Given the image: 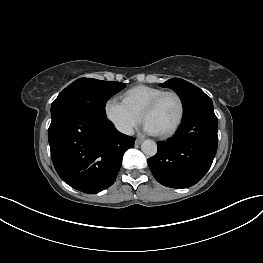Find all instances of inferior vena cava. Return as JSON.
Here are the masks:
<instances>
[{
    "label": "inferior vena cava",
    "mask_w": 263,
    "mask_h": 263,
    "mask_svg": "<svg viewBox=\"0 0 263 263\" xmlns=\"http://www.w3.org/2000/svg\"><path fill=\"white\" fill-rule=\"evenodd\" d=\"M123 133H125L127 135H133L134 131L131 127H127L126 129L123 130Z\"/></svg>",
    "instance_id": "inferior-vena-cava-1"
}]
</instances>
